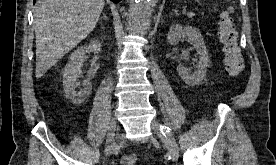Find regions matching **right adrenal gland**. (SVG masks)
I'll return each instance as SVG.
<instances>
[{"label":"right adrenal gland","mask_w":276,"mask_h":165,"mask_svg":"<svg viewBox=\"0 0 276 165\" xmlns=\"http://www.w3.org/2000/svg\"><path fill=\"white\" fill-rule=\"evenodd\" d=\"M102 18L107 19V17H106V15H105V13H103Z\"/></svg>","instance_id":"right-adrenal-gland-1"}]
</instances>
